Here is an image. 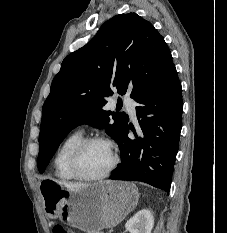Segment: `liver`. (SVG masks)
I'll use <instances>...</instances> for the list:
<instances>
[{"mask_svg": "<svg viewBox=\"0 0 227 233\" xmlns=\"http://www.w3.org/2000/svg\"><path fill=\"white\" fill-rule=\"evenodd\" d=\"M55 182H57L60 185H63L67 188L70 189H78V188H82L84 186H87V184H80V183H70V182H66V181H59V180H55Z\"/></svg>", "mask_w": 227, "mask_h": 233, "instance_id": "6515ba94", "label": "liver"}]
</instances>
